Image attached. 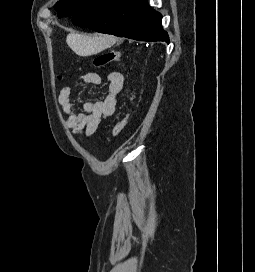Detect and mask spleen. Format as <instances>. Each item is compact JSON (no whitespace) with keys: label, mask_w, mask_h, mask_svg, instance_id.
I'll return each instance as SVG.
<instances>
[{"label":"spleen","mask_w":255,"mask_h":272,"mask_svg":"<svg viewBox=\"0 0 255 272\" xmlns=\"http://www.w3.org/2000/svg\"><path fill=\"white\" fill-rule=\"evenodd\" d=\"M66 42L76 54L89 56L110 47L115 42V39L110 36H91L70 33L67 35Z\"/></svg>","instance_id":"obj_1"}]
</instances>
